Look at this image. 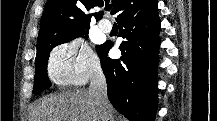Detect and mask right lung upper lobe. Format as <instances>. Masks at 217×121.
Here are the masks:
<instances>
[{
  "mask_svg": "<svg viewBox=\"0 0 217 121\" xmlns=\"http://www.w3.org/2000/svg\"><path fill=\"white\" fill-rule=\"evenodd\" d=\"M130 3V0H113L112 13L121 14ZM103 4V0H48L40 22L37 45L89 28L91 17L98 21L103 12L86 14L87 11Z\"/></svg>",
  "mask_w": 217,
  "mask_h": 121,
  "instance_id": "right-lung-upper-lobe-1",
  "label": "right lung upper lobe"
}]
</instances>
